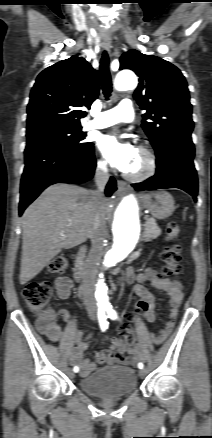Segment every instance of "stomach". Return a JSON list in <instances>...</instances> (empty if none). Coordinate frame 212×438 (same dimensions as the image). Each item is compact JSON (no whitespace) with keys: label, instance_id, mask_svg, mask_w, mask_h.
Segmentation results:
<instances>
[{"label":"stomach","instance_id":"1","mask_svg":"<svg viewBox=\"0 0 212 438\" xmlns=\"http://www.w3.org/2000/svg\"><path fill=\"white\" fill-rule=\"evenodd\" d=\"M141 200L144 207L151 212L152 216L158 219L168 218L175 210L172 196L165 191L145 194Z\"/></svg>","mask_w":212,"mask_h":438}]
</instances>
